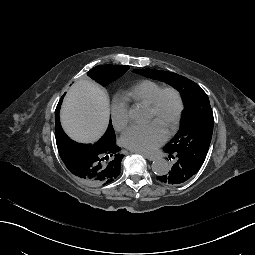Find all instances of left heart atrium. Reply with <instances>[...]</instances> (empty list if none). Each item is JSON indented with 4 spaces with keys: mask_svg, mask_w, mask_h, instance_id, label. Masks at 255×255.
<instances>
[{
    "mask_svg": "<svg viewBox=\"0 0 255 255\" xmlns=\"http://www.w3.org/2000/svg\"><path fill=\"white\" fill-rule=\"evenodd\" d=\"M165 141L166 135L153 124L133 125L121 137L124 147L139 153H152Z\"/></svg>",
    "mask_w": 255,
    "mask_h": 255,
    "instance_id": "1",
    "label": "left heart atrium"
}]
</instances>
